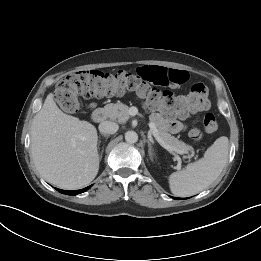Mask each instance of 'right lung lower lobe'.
I'll use <instances>...</instances> for the list:
<instances>
[{
    "mask_svg": "<svg viewBox=\"0 0 261 261\" xmlns=\"http://www.w3.org/2000/svg\"><path fill=\"white\" fill-rule=\"evenodd\" d=\"M91 186H88L84 189H81V190H75V191H66V190H61V189H57V191H59L60 193H63V194H67V195H76V194H79V193H82V192H85L86 190H88Z\"/></svg>",
    "mask_w": 261,
    "mask_h": 261,
    "instance_id": "right-lung-lower-lobe-1",
    "label": "right lung lower lobe"
}]
</instances>
